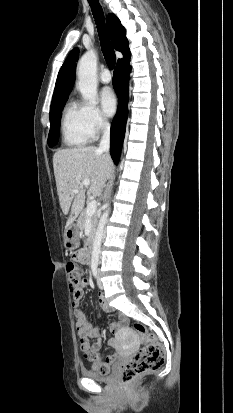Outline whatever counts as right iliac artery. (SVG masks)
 Listing matches in <instances>:
<instances>
[{
    "label": "right iliac artery",
    "mask_w": 233,
    "mask_h": 413,
    "mask_svg": "<svg viewBox=\"0 0 233 413\" xmlns=\"http://www.w3.org/2000/svg\"><path fill=\"white\" fill-rule=\"evenodd\" d=\"M91 269H92V273H93L94 277L96 278L97 274H98L97 265H92Z\"/></svg>",
    "instance_id": "82829eb1"
}]
</instances>
